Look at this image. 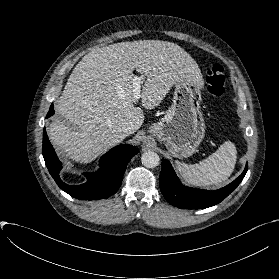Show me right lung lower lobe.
I'll list each match as a JSON object with an SVG mask.
<instances>
[{
    "mask_svg": "<svg viewBox=\"0 0 279 279\" xmlns=\"http://www.w3.org/2000/svg\"><path fill=\"white\" fill-rule=\"evenodd\" d=\"M54 113L52 104L46 118H49ZM137 153V148L132 145H118L101 157L99 172L85 175L87 177L86 183L68 185L60 179L61 162L56 156L46 131H43V157L45 164L57 185L77 199L98 200L108 198L114 194L121 186L128 162Z\"/></svg>",
    "mask_w": 279,
    "mask_h": 279,
    "instance_id": "1",
    "label": "right lung lower lobe"
}]
</instances>
